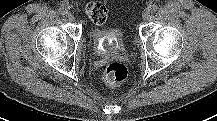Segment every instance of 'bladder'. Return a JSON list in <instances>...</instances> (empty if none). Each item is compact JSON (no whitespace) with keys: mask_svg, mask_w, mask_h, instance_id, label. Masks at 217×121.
I'll return each mask as SVG.
<instances>
[{"mask_svg":"<svg viewBox=\"0 0 217 121\" xmlns=\"http://www.w3.org/2000/svg\"><path fill=\"white\" fill-rule=\"evenodd\" d=\"M94 52L102 56H112L122 52L125 48L123 32L118 27L108 30L96 29L92 33Z\"/></svg>","mask_w":217,"mask_h":121,"instance_id":"bladder-1","label":"bladder"}]
</instances>
